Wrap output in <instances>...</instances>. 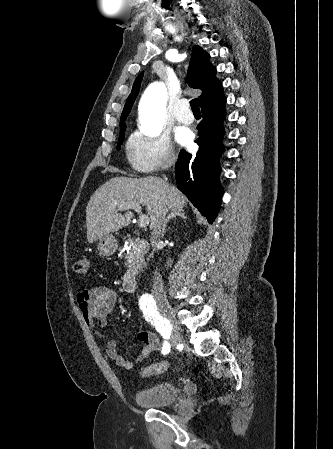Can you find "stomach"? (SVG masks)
Here are the masks:
<instances>
[{
	"label": "stomach",
	"mask_w": 333,
	"mask_h": 449,
	"mask_svg": "<svg viewBox=\"0 0 333 449\" xmlns=\"http://www.w3.org/2000/svg\"><path fill=\"white\" fill-rule=\"evenodd\" d=\"M117 240L112 235H106L99 239L97 248L102 256H110L117 250Z\"/></svg>",
	"instance_id": "1"
}]
</instances>
